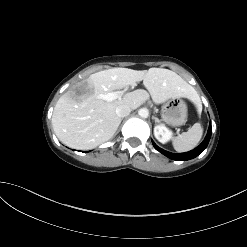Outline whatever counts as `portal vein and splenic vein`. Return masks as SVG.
<instances>
[{"instance_id": "portal-vein-and-splenic-vein-1", "label": "portal vein and splenic vein", "mask_w": 247, "mask_h": 247, "mask_svg": "<svg viewBox=\"0 0 247 247\" xmlns=\"http://www.w3.org/2000/svg\"><path fill=\"white\" fill-rule=\"evenodd\" d=\"M123 95V91H118V92H110L104 95H100V98L105 100V101H113L116 99L121 98V96Z\"/></svg>"}]
</instances>
